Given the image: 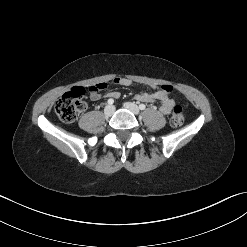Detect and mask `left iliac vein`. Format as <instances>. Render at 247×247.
<instances>
[{"label": "left iliac vein", "mask_w": 247, "mask_h": 247, "mask_svg": "<svg viewBox=\"0 0 247 247\" xmlns=\"http://www.w3.org/2000/svg\"><path fill=\"white\" fill-rule=\"evenodd\" d=\"M124 108L128 109L135 115H138L140 113L138 106L131 102L124 103Z\"/></svg>", "instance_id": "4c4485c4"}]
</instances>
